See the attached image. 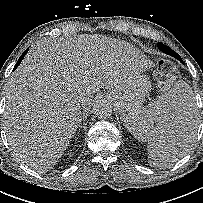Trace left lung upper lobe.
<instances>
[{"instance_id": "left-lung-upper-lobe-1", "label": "left lung upper lobe", "mask_w": 203, "mask_h": 203, "mask_svg": "<svg viewBox=\"0 0 203 203\" xmlns=\"http://www.w3.org/2000/svg\"><path fill=\"white\" fill-rule=\"evenodd\" d=\"M158 48H160V47H164V48H166V49H170V48H168L167 46H165V45H163L162 43H158ZM171 50V49H170Z\"/></svg>"}]
</instances>
